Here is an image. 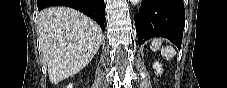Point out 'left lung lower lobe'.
Masks as SVG:
<instances>
[{
	"label": "left lung lower lobe",
	"mask_w": 227,
	"mask_h": 88,
	"mask_svg": "<svg viewBox=\"0 0 227 88\" xmlns=\"http://www.w3.org/2000/svg\"><path fill=\"white\" fill-rule=\"evenodd\" d=\"M134 19L139 45L152 37H165L181 47L185 19L183 0H143Z\"/></svg>",
	"instance_id": "1"
}]
</instances>
